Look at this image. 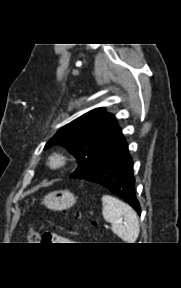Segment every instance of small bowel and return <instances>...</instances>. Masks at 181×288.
Here are the masks:
<instances>
[{
  "mask_svg": "<svg viewBox=\"0 0 181 288\" xmlns=\"http://www.w3.org/2000/svg\"><path fill=\"white\" fill-rule=\"evenodd\" d=\"M50 242L54 243H74V240L57 233H50Z\"/></svg>",
  "mask_w": 181,
  "mask_h": 288,
  "instance_id": "1",
  "label": "small bowel"
}]
</instances>
